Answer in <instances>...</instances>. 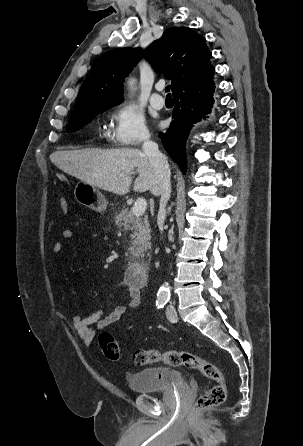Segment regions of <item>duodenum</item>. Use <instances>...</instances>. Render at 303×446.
Instances as JSON below:
<instances>
[{
  "label": "duodenum",
  "mask_w": 303,
  "mask_h": 446,
  "mask_svg": "<svg viewBox=\"0 0 303 446\" xmlns=\"http://www.w3.org/2000/svg\"><path fill=\"white\" fill-rule=\"evenodd\" d=\"M126 280L132 286L142 287L147 280V263L137 260L131 263L126 272Z\"/></svg>",
  "instance_id": "1"
}]
</instances>
